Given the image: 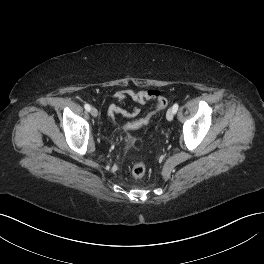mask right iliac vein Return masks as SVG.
I'll return each mask as SVG.
<instances>
[{"instance_id":"63e3f726","label":"right iliac vein","mask_w":264,"mask_h":264,"mask_svg":"<svg viewBox=\"0 0 264 264\" xmlns=\"http://www.w3.org/2000/svg\"><path fill=\"white\" fill-rule=\"evenodd\" d=\"M90 113H91V115H92L93 117H97V116H98V111H97V109H96L95 107H92V108L90 109Z\"/></svg>"}]
</instances>
